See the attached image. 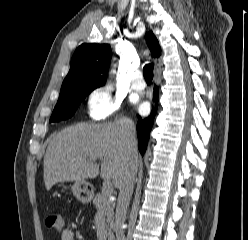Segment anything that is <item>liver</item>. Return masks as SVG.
I'll return each instance as SVG.
<instances>
[{
  "mask_svg": "<svg viewBox=\"0 0 248 240\" xmlns=\"http://www.w3.org/2000/svg\"><path fill=\"white\" fill-rule=\"evenodd\" d=\"M129 119L102 124L80 123L57 133L44 156V182L49 191L58 182L84 181L99 175L118 188L129 155L124 127ZM138 163V152H133ZM102 160L101 170L95 161Z\"/></svg>",
  "mask_w": 248,
  "mask_h": 240,
  "instance_id": "1",
  "label": "liver"
}]
</instances>
